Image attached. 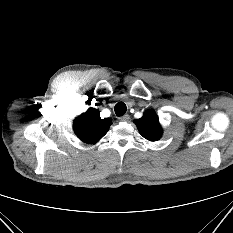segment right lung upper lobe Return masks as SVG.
<instances>
[{
  "instance_id": "right-lung-upper-lobe-1",
  "label": "right lung upper lobe",
  "mask_w": 233,
  "mask_h": 233,
  "mask_svg": "<svg viewBox=\"0 0 233 233\" xmlns=\"http://www.w3.org/2000/svg\"><path fill=\"white\" fill-rule=\"evenodd\" d=\"M111 124L109 118H100L97 109L89 108L74 120L73 128L80 140L95 144L107 133Z\"/></svg>"
}]
</instances>
